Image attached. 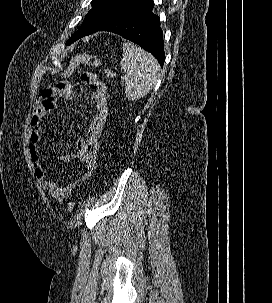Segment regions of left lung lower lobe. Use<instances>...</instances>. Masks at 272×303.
Here are the masks:
<instances>
[{
	"mask_svg": "<svg viewBox=\"0 0 272 303\" xmlns=\"http://www.w3.org/2000/svg\"><path fill=\"white\" fill-rule=\"evenodd\" d=\"M153 7L152 0H142L131 8L100 22L78 39L97 31L113 32L149 51L163 66L165 59L163 32L159 17L152 13Z\"/></svg>",
	"mask_w": 272,
	"mask_h": 303,
	"instance_id": "1",
	"label": "left lung lower lobe"
}]
</instances>
